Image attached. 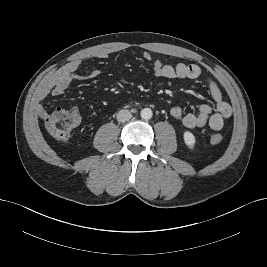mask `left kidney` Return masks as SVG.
<instances>
[{
  "mask_svg": "<svg viewBox=\"0 0 267 267\" xmlns=\"http://www.w3.org/2000/svg\"><path fill=\"white\" fill-rule=\"evenodd\" d=\"M183 138H184V142L185 144L190 148L193 149L194 145H195V136L189 132V131H185L183 134Z\"/></svg>",
  "mask_w": 267,
  "mask_h": 267,
  "instance_id": "left-kidney-1",
  "label": "left kidney"
}]
</instances>
